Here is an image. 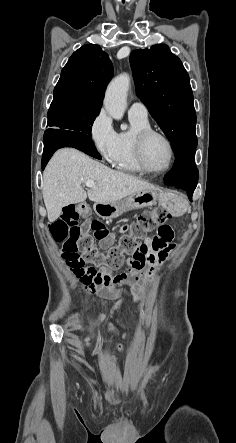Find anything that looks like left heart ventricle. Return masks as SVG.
<instances>
[{"label":"left heart ventricle","mask_w":236,"mask_h":443,"mask_svg":"<svg viewBox=\"0 0 236 443\" xmlns=\"http://www.w3.org/2000/svg\"><path fill=\"white\" fill-rule=\"evenodd\" d=\"M145 160L152 170L165 168L170 160V151L167 143L159 136H152L145 146Z\"/></svg>","instance_id":"obj_1"}]
</instances>
